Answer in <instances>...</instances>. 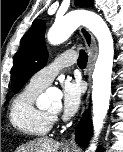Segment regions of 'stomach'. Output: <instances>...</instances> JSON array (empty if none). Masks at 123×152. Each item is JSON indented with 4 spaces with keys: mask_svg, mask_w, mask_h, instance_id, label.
Instances as JSON below:
<instances>
[{
    "mask_svg": "<svg viewBox=\"0 0 123 152\" xmlns=\"http://www.w3.org/2000/svg\"><path fill=\"white\" fill-rule=\"evenodd\" d=\"M63 152H70V150L68 148H64Z\"/></svg>",
    "mask_w": 123,
    "mask_h": 152,
    "instance_id": "0dacf381",
    "label": "stomach"
}]
</instances>
